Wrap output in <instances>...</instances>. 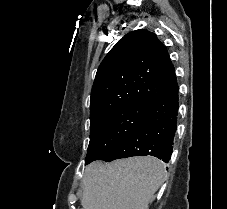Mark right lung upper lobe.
Here are the masks:
<instances>
[{
	"label": "right lung upper lobe",
	"mask_w": 227,
	"mask_h": 209,
	"mask_svg": "<svg viewBox=\"0 0 227 209\" xmlns=\"http://www.w3.org/2000/svg\"><path fill=\"white\" fill-rule=\"evenodd\" d=\"M171 66L166 47L154 33L139 29L126 34L97 70L90 118L101 112L104 100L127 98L149 105L171 92L175 84L166 75Z\"/></svg>",
	"instance_id": "right-lung-upper-lobe-1"
}]
</instances>
